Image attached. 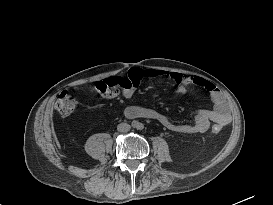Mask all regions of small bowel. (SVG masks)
<instances>
[{
	"label": "small bowel",
	"mask_w": 273,
	"mask_h": 205,
	"mask_svg": "<svg viewBox=\"0 0 273 205\" xmlns=\"http://www.w3.org/2000/svg\"><path fill=\"white\" fill-rule=\"evenodd\" d=\"M130 74V73H129ZM129 74L127 76H110L98 81L95 85L96 90L105 98H115L120 93L130 99L135 94V87L130 84ZM144 79H156L165 76L177 83L173 91L175 96L185 95L189 92V85L198 86L210 94L213 107L199 109L194 121L190 124H177L165 115L146 107L130 106L127 108V115L130 117H148L157 120L161 125L170 131L178 133H203L206 132L211 123L218 126H225L230 122L229 106L223 93L210 81L199 76H188L178 72H167L158 69H146L141 71Z\"/></svg>",
	"instance_id": "obj_1"
}]
</instances>
